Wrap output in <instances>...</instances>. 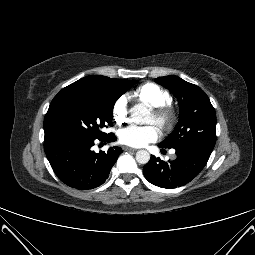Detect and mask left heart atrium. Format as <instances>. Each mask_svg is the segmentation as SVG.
Masks as SVG:
<instances>
[{"instance_id":"obj_1","label":"left heart atrium","mask_w":255,"mask_h":255,"mask_svg":"<svg viewBox=\"0 0 255 255\" xmlns=\"http://www.w3.org/2000/svg\"><path fill=\"white\" fill-rule=\"evenodd\" d=\"M160 131L155 125H129L119 131V140L122 144L131 147H143L156 141Z\"/></svg>"}]
</instances>
